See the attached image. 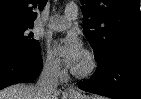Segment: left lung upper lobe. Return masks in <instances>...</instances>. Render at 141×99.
Masks as SVG:
<instances>
[{"label":"left lung upper lobe","mask_w":141,"mask_h":99,"mask_svg":"<svg viewBox=\"0 0 141 99\" xmlns=\"http://www.w3.org/2000/svg\"><path fill=\"white\" fill-rule=\"evenodd\" d=\"M83 32L95 58L119 48L141 49L139 0H81Z\"/></svg>","instance_id":"obj_1"}]
</instances>
